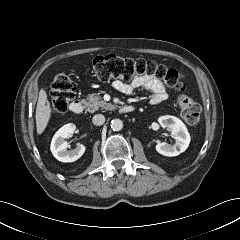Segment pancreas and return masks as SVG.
Listing matches in <instances>:
<instances>
[{
	"instance_id": "1",
	"label": "pancreas",
	"mask_w": 240,
	"mask_h": 240,
	"mask_svg": "<svg viewBox=\"0 0 240 240\" xmlns=\"http://www.w3.org/2000/svg\"><path fill=\"white\" fill-rule=\"evenodd\" d=\"M85 105L87 107V111L91 113L99 110V108L106 109V110L115 109L114 105H112L111 103L105 102L96 94L88 95L87 99L85 100Z\"/></svg>"
}]
</instances>
